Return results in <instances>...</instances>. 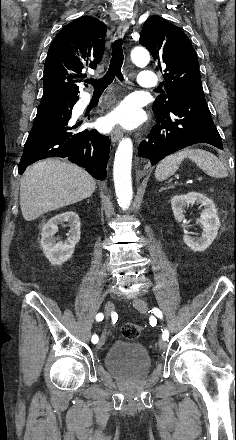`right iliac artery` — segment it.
<instances>
[{
  "label": "right iliac artery",
  "instance_id": "82829eb1",
  "mask_svg": "<svg viewBox=\"0 0 236 440\" xmlns=\"http://www.w3.org/2000/svg\"><path fill=\"white\" fill-rule=\"evenodd\" d=\"M103 318H104V316H103L102 313H98V314L96 315V320H97V321H102ZM91 341H92L94 344H96V343L98 342V336H97L96 334H94V335L92 336Z\"/></svg>",
  "mask_w": 236,
  "mask_h": 440
}]
</instances>
